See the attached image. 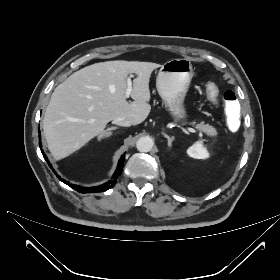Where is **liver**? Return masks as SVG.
Wrapping results in <instances>:
<instances>
[{
	"label": "liver",
	"mask_w": 280,
	"mask_h": 280,
	"mask_svg": "<svg viewBox=\"0 0 280 280\" xmlns=\"http://www.w3.org/2000/svg\"><path fill=\"white\" fill-rule=\"evenodd\" d=\"M152 62L106 61L74 72L59 84L46 108L43 130L48 148L57 159L64 158L101 135L108 122L124 117L132 125L150 113L149 80ZM135 73L131 98L126 101L127 76Z\"/></svg>",
	"instance_id": "obj_1"
}]
</instances>
